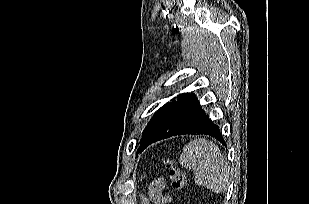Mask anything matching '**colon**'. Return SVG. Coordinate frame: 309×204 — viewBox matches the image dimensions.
Masks as SVG:
<instances>
[{
	"mask_svg": "<svg viewBox=\"0 0 309 204\" xmlns=\"http://www.w3.org/2000/svg\"><path fill=\"white\" fill-rule=\"evenodd\" d=\"M164 164L169 171L171 189L176 192L180 191L185 185L184 171L173 160L166 159L164 160Z\"/></svg>",
	"mask_w": 309,
	"mask_h": 204,
	"instance_id": "5ec220e1",
	"label": "colon"
}]
</instances>
